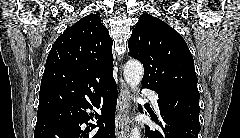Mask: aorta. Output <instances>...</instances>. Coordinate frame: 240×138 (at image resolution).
I'll use <instances>...</instances> for the list:
<instances>
[{"instance_id":"aorta-1","label":"aorta","mask_w":240,"mask_h":138,"mask_svg":"<svg viewBox=\"0 0 240 138\" xmlns=\"http://www.w3.org/2000/svg\"><path fill=\"white\" fill-rule=\"evenodd\" d=\"M144 70L142 64L137 60H129L124 66V78L132 90H136L143 78ZM130 138H140V130L134 127Z\"/></svg>"}]
</instances>
